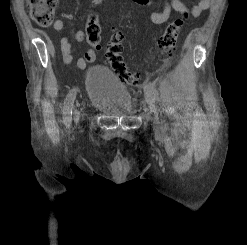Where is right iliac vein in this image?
I'll use <instances>...</instances> for the list:
<instances>
[{"instance_id":"1","label":"right iliac vein","mask_w":247,"mask_h":245,"mask_svg":"<svg viewBox=\"0 0 247 245\" xmlns=\"http://www.w3.org/2000/svg\"><path fill=\"white\" fill-rule=\"evenodd\" d=\"M74 120L75 122H79V112L77 109L74 110Z\"/></svg>"}]
</instances>
